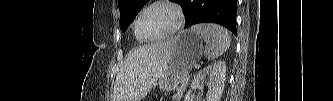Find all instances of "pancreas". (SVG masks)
Segmentation results:
<instances>
[{"label": "pancreas", "instance_id": "pancreas-1", "mask_svg": "<svg viewBox=\"0 0 333 101\" xmlns=\"http://www.w3.org/2000/svg\"><path fill=\"white\" fill-rule=\"evenodd\" d=\"M188 80H189L188 76L181 80L180 85L176 89V93L173 95V99L178 101L182 97V95L186 89Z\"/></svg>", "mask_w": 333, "mask_h": 101}]
</instances>
